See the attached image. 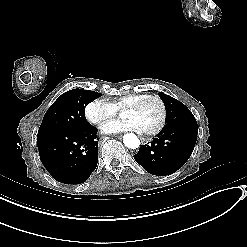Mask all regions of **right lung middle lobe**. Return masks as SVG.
Masks as SVG:
<instances>
[{
    "label": "right lung middle lobe",
    "instance_id": "dd1d6c3e",
    "mask_svg": "<svg viewBox=\"0 0 247 247\" xmlns=\"http://www.w3.org/2000/svg\"><path fill=\"white\" fill-rule=\"evenodd\" d=\"M101 94L84 89L63 93L47 110L38 135L54 130L80 129L89 124L84 117L85 107Z\"/></svg>",
    "mask_w": 247,
    "mask_h": 247
}]
</instances>
